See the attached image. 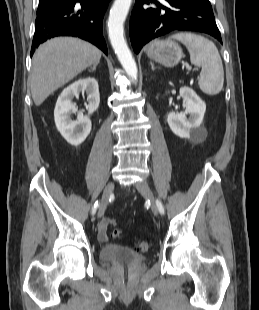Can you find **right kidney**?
Returning a JSON list of instances; mask_svg holds the SVG:
<instances>
[{
  "label": "right kidney",
  "mask_w": 259,
  "mask_h": 310,
  "mask_svg": "<svg viewBox=\"0 0 259 310\" xmlns=\"http://www.w3.org/2000/svg\"><path fill=\"white\" fill-rule=\"evenodd\" d=\"M79 93H86L88 101V115L99 107L100 95L96 79L88 77L79 79L66 87L57 99L54 119L57 130L71 145L78 146L87 138L91 131V120L89 116H83L77 111L72 99ZM78 113L77 120L71 119L72 113Z\"/></svg>",
  "instance_id": "1"
}]
</instances>
